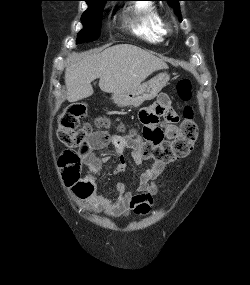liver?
I'll return each instance as SVG.
<instances>
[{"label": "liver", "instance_id": "1", "mask_svg": "<svg viewBox=\"0 0 250 285\" xmlns=\"http://www.w3.org/2000/svg\"><path fill=\"white\" fill-rule=\"evenodd\" d=\"M67 100L76 102L93 94L91 82L99 78L103 92L117 93L140 85L167 64L135 45L120 44L100 53L72 54L66 61Z\"/></svg>", "mask_w": 250, "mask_h": 285}]
</instances>
